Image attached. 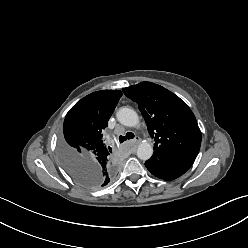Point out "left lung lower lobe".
<instances>
[{"label": "left lung lower lobe", "instance_id": "1", "mask_svg": "<svg viewBox=\"0 0 248 248\" xmlns=\"http://www.w3.org/2000/svg\"><path fill=\"white\" fill-rule=\"evenodd\" d=\"M194 161V158L159 160L151 157L145 162V166L155 177L170 181L184 174Z\"/></svg>", "mask_w": 248, "mask_h": 248}]
</instances>
